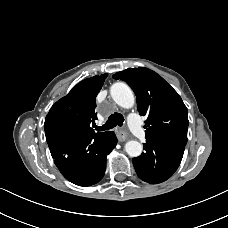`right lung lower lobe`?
Masks as SVG:
<instances>
[{
	"instance_id": "1",
	"label": "right lung lower lobe",
	"mask_w": 228,
	"mask_h": 228,
	"mask_svg": "<svg viewBox=\"0 0 228 228\" xmlns=\"http://www.w3.org/2000/svg\"><path fill=\"white\" fill-rule=\"evenodd\" d=\"M114 132L100 135L82 134L49 147L62 175L79 186L99 182L106 170V157L115 148Z\"/></svg>"
}]
</instances>
